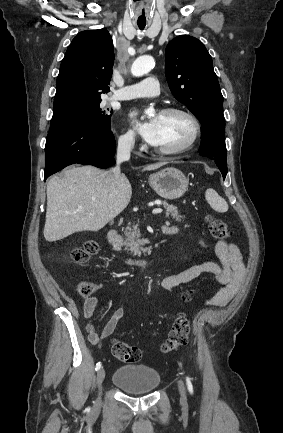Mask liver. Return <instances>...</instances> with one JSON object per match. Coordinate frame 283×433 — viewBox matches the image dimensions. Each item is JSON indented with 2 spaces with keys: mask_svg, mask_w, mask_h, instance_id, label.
<instances>
[{
  "mask_svg": "<svg viewBox=\"0 0 283 433\" xmlns=\"http://www.w3.org/2000/svg\"><path fill=\"white\" fill-rule=\"evenodd\" d=\"M165 162L148 164L154 170ZM132 186L125 174L115 180L111 170L75 166L63 178L52 176L47 184L46 241H60L77 231H100L126 208Z\"/></svg>",
  "mask_w": 283,
  "mask_h": 433,
  "instance_id": "6515ba94",
  "label": "liver"
}]
</instances>
